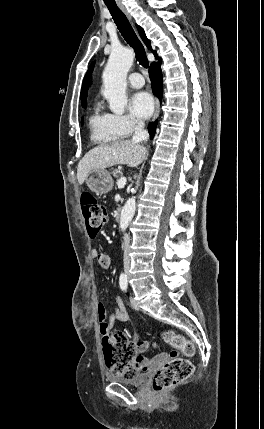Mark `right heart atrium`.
Returning <instances> with one entry per match:
<instances>
[{
	"instance_id": "obj_1",
	"label": "right heart atrium",
	"mask_w": 264,
	"mask_h": 429,
	"mask_svg": "<svg viewBox=\"0 0 264 429\" xmlns=\"http://www.w3.org/2000/svg\"><path fill=\"white\" fill-rule=\"evenodd\" d=\"M115 127L122 137L131 135L141 123L129 114H112Z\"/></svg>"
}]
</instances>
